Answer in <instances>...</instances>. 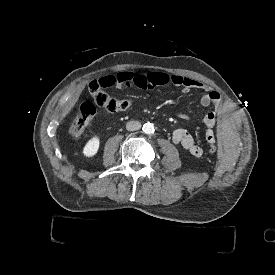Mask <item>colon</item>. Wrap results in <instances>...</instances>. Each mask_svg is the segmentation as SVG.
Here are the masks:
<instances>
[{
    "label": "colon",
    "mask_w": 275,
    "mask_h": 275,
    "mask_svg": "<svg viewBox=\"0 0 275 275\" xmlns=\"http://www.w3.org/2000/svg\"><path fill=\"white\" fill-rule=\"evenodd\" d=\"M87 85L92 88V95L101 101V108H104L110 112L125 111L130 108L131 102L129 100L117 99L101 91L103 86L98 84V80L95 77H90L87 80ZM93 105L94 104L92 101H87L80 105L77 116L70 127V133L72 135L78 136L85 133L96 114V110L93 108ZM208 153L210 156L215 157L218 155L219 150L216 145L211 144L208 147Z\"/></svg>",
    "instance_id": "5ec220e1"
}]
</instances>
